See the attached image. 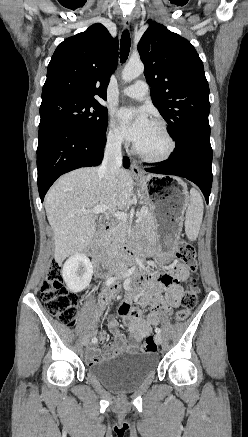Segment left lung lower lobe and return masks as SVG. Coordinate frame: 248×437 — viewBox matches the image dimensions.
I'll use <instances>...</instances> for the list:
<instances>
[{
  "instance_id": "obj_1",
  "label": "left lung lower lobe",
  "mask_w": 248,
  "mask_h": 437,
  "mask_svg": "<svg viewBox=\"0 0 248 437\" xmlns=\"http://www.w3.org/2000/svg\"><path fill=\"white\" fill-rule=\"evenodd\" d=\"M210 126L190 129L176 142V150L164 164L146 168L147 172L185 177L203 192L208 203L212 185Z\"/></svg>"
}]
</instances>
